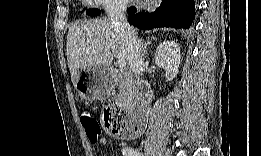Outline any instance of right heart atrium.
<instances>
[{
    "mask_svg": "<svg viewBox=\"0 0 261 156\" xmlns=\"http://www.w3.org/2000/svg\"><path fill=\"white\" fill-rule=\"evenodd\" d=\"M96 4L103 5L106 8L115 7V6L119 5L118 3L110 2V1H97Z\"/></svg>",
    "mask_w": 261,
    "mask_h": 156,
    "instance_id": "1",
    "label": "right heart atrium"
}]
</instances>
